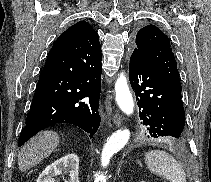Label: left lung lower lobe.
<instances>
[{"label": "left lung lower lobe", "instance_id": "1", "mask_svg": "<svg viewBox=\"0 0 211 182\" xmlns=\"http://www.w3.org/2000/svg\"><path fill=\"white\" fill-rule=\"evenodd\" d=\"M129 80L148 138L177 141L184 136L185 112L181 93L173 89L138 52L130 58Z\"/></svg>", "mask_w": 211, "mask_h": 182}]
</instances>
